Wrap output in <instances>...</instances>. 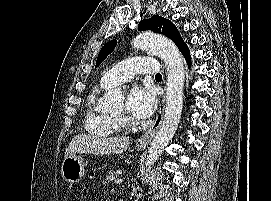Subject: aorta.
I'll return each mask as SVG.
<instances>
[{
    "instance_id": "1",
    "label": "aorta",
    "mask_w": 271,
    "mask_h": 201,
    "mask_svg": "<svg viewBox=\"0 0 271 201\" xmlns=\"http://www.w3.org/2000/svg\"><path fill=\"white\" fill-rule=\"evenodd\" d=\"M132 47L156 53L165 62L167 74V92L165 115L159 131L154 137L147 155L146 171L172 140L180 122L183 107V87L185 70L183 58L177 46L168 38L155 33L145 32L132 40ZM119 91L108 92L99 100L101 108H111L123 100Z\"/></svg>"
}]
</instances>
